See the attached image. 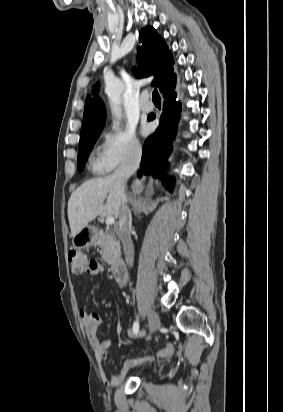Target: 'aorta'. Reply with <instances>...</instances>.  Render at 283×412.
I'll list each match as a JSON object with an SVG mask.
<instances>
[{"label": "aorta", "instance_id": "obj_1", "mask_svg": "<svg viewBox=\"0 0 283 412\" xmlns=\"http://www.w3.org/2000/svg\"><path fill=\"white\" fill-rule=\"evenodd\" d=\"M123 86L121 82L117 79H110L106 86V93L108 95L111 112L114 116L113 124L114 126L119 125V121L121 119V94H122ZM142 185L141 183H137L134 186V190L136 192L141 191Z\"/></svg>", "mask_w": 283, "mask_h": 412}]
</instances>
